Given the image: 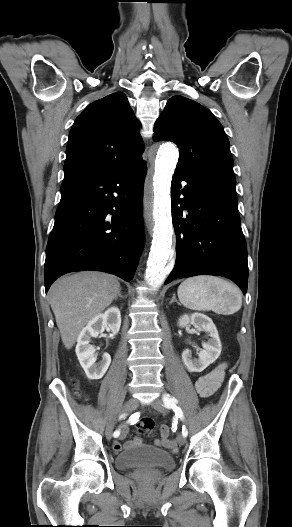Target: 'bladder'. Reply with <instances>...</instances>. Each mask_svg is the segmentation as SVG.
Wrapping results in <instances>:
<instances>
[{
    "label": "bladder",
    "instance_id": "31cf9c89",
    "mask_svg": "<svg viewBox=\"0 0 292 527\" xmlns=\"http://www.w3.org/2000/svg\"><path fill=\"white\" fill-rule=\"evenodd\" d=\"M174 458L167 451L152 446H134L121 452L116 458V466L120 470L134 468L171 469Z\"/></svg>",
    "mask_w": 292,
    "mask_h": 527
}]
</instances>
